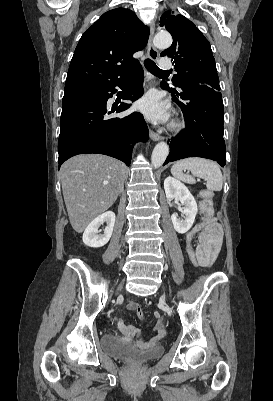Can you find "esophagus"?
Instances as JSON below:
<instances>
[{
    "mask_svg": "<svg viewBox=\"0 0 273 401\" xmlns=\"http://www.w3.org/2000/svg\"><path fill=\"white\" fill-rule=\"evenodd\" d=\"M154 29H155V25L152 22L151 26H150V35H149V40H148V45H147V58H150L151 60H153L155 62L158 59V50H156V48L153 45ZM145 74H146V79L149 80L150 77L147 75V71H145ZM149 135H150L151 139L154 141L162 140L161 135H159L158 133H155V131L151 130V128L149 129Z\"/></svg>",
    "mask_w": 273,
    "mask_h": 401,
    "instance_id": "esophagus-1",
    "label": "esophagus"
}]
</instances>
